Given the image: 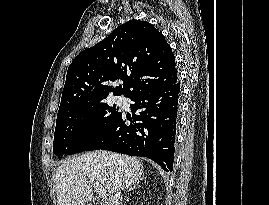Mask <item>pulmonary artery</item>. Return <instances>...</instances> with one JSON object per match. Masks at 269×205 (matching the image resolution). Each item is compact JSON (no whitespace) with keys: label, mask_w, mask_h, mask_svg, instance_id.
<instances>
[{"label":"pulmonary artery","mask_w":269,"mask_h":205,"mask_svg":"<svg viewBox=\"0 0 269 205\" xmlns=\"http://www.w3.org/2000/svg\"><path fill=\"white\" fill-rule=\"evenodd\" d=\"M116 102H117L119 105H125L126 100H125L124 97L118 96V97L116 98Z\"/></svg>","instance_id":"1"}]
</instances>
